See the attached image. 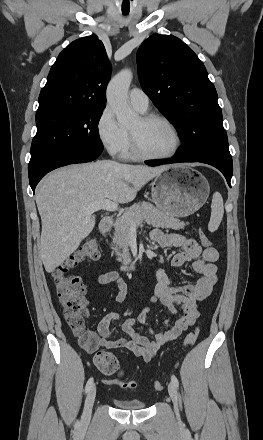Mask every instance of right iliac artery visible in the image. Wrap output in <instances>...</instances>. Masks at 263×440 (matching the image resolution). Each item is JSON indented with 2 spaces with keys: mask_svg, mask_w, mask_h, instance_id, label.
<instances>
[{
  "mask_svg": "<svg viewBox=\"0 0 263 440\" xmlns=\"http://www.w3.org/2000/svg\"><path fill=\"white\" fill-rule=\"evenodd\" d=\"M92 386H93V378H90V379L88 380L87 384H86L85 392L87 393L88 391H90V389L92 388Z\"/></svg>",
  "mask_w": 263,
  "mask_h": 440,
  "instance_id": "obj_1",
  "label": "right iliac artery"
}]
</instances>
